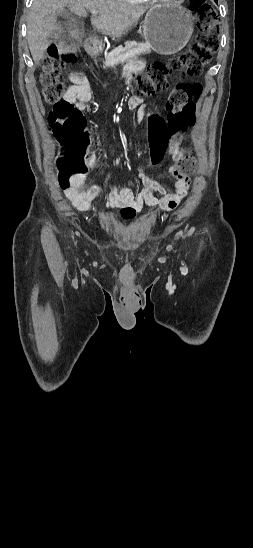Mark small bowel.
Instances as JSON below:
<instances>
[{
    "instance_id": "obj_1",
    "label": "small bowel",
    "mask_w": 253,
    "mask_h": 548,
    "mask_svg": "<svg viewBox=\"0 0 253 548\" xmlns=\"http://www.w3.org/2000/svg\"><path fill=\"white\" fill-rule=\"evenodd\" d=\"M143 66L144 63L141 61L129 63L124 68V75L128 76L131 72L142 69ZM70 82L71 85L64 99L83 111L92 98L89 81L84 73L73 72L70 74ZM127 105L129 109L139 108L141 113H145L148 109V105L139 96H132ZM181 141L182 136L170 137L168 140V151L175 161L179 159L181 154ZM96 164L97 156L92 152L88 158V165L89 167H95ZM171 174L175 178V183L172 189H168L158 180L150 177L144 167H139L137 176L144 187L139 192H135L128 187L111 188L106 198L105 209L125 207L121 211V216L124 219L133 218L135 213L142 210L144 206L155 207L159 211L175 209L186 196L190 187V179L187 175L172 171ZM85 182L86 175L81 174L74 176L68 186L61 185L72 205L81 211L91 210L100 192V187L97 185L85 189ZM158 194L161 195L160 198L157 197Z\"/></svg>"
}]
</instances>
